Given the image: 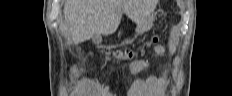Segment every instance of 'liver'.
<instances>
[{
  "label": "liver",
  "instance_id": "liver-1",
  "mask_svg": "<svg viewBox=\"0 0 232 96\" xmlns=\"http://www.w3.org/2000/svg\"><path fill=\"white\" fill-rule=\"evenodd\" d=\"M157 0H66L65 22L73 42H82L94 33H114L122 14L138 25L155 9Z\"/></svg>",
  "mask_w": 232,
  "mask_h": 96
}]
</instances>
